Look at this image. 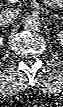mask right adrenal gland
Wrapping results in <instances>:
<instances>
[{"instance_id":"1","label":"right adrenal gland","mask_w":63,"mask_h":107,"mask_svg":"<svg viewBox=\"0 0 63 107\" xmlns=\"http://www.w3.org/2000/svg\"><path fill=\"white\" fill-rule=\"evenodd\" d=\"M0 27H1V29H7L8 28V26H5V25H0Z\"/></svg>"}]
</instances>
